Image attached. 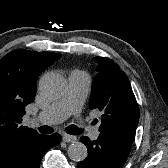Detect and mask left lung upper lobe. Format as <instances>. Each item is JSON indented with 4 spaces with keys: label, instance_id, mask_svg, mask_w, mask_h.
I'll return each mask as SVG.
<instances>
[{
    "label": "left lung upper lobe",
    "instance_id": "1",
    "mask_svg": "<svg viewBox=\"0 0 168 168\" xmlns=\"http://www.w3.org/2000/svg\"><path fill=\"white\" fill-rule=\"evenodd\" d=\"M98 74L93 80L90 109L102 112L99 131L132 144L139 108L125 72L109 58L96 57Z\"/></svg>",
    "mask_w": 168,
    "mask_h": 168
}]
</instances>
